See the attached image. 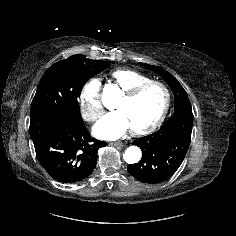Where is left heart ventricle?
Wrapping results in <instances>:
<instances>
[{"instance_id":"obj_1","label":"left heart ventricle","mask_w":236,"mask_h":236,"mask_svg":"<svg viewBox=\"0 0 236 236\" xmlns=\"http://www.w3.org/2000/svg\"><path fill=\"white\" fill-rule=\"evenodd\" d=\"M165 103V93L159 86H151L134 100L128 101L123 97L116 105L127 117L131 129H139L153 123L161 113Z\"/></svg>"}]
</instances>
